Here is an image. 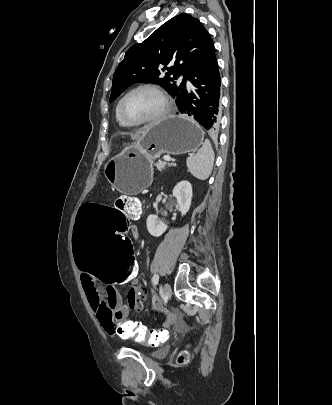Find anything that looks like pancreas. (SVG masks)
Here are the masks:
<instances>
[{
    "label": "pancreas",
    "mask_w": 332,
    "mask_h": 405,
    "mask_svg": "<svg viewBox=\"0 0 332 405\" xmlns=\"http://www.w3.org/2000/svg\"><path fill=\"white\" fill-rule=\"evenodd\" d=\"M155 165H156V167H157L159 170L165 169V167H166V162H164V161H158Z\"/></svg>",
    "instance_id": "1"
}]
</instances>
